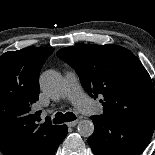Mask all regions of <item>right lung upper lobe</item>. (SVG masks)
Listing matches in <instances>:
<instances>
[{"label":"right lung upper lobe","mask_w":155,"mask_h":155,"mask_svg":"<svg viewBox=\"0 0 155 155\" xmlns=\"http://www.w3.org/2000/svg\"><path fill=\"white\" fill-rule=\"evenodd\" d=\"M48 47H29L0 56V151L3 155H53L66 136L64 125L49 118L38 125L33 104L39 96V73ZM39 119V117H38Z\"/></svg>","instance_id":"right-lung-upper-lobe-1"}]
</instances>
